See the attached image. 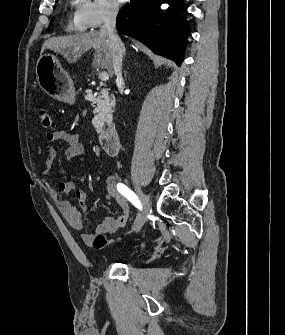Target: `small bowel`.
Masks as SVG:
<instances>
[{
  "label": "small bowel",
  "instance_id": "obj_1",
  "mask_svg": "<svg viewBox=\"0 0 285 335\" xmlns=\"http://www.w3.org/2000/svg\"><path fill=\"white\" fill-rule=\"evenodd\" d=\"M47 140L50 143L60 142L66 144L67 148L65 149L64 156L68 161L74 159L75 157L83 156L86 153L85 145L81 143L77 136L69 130L63 129L50 132L47 134ZM56 155V149L54 147H49L42 165V174H45L54 164ZM106 184L107 193L105 198L116 202L120 208V215L117 217L106 216L101 220L93 232L83 233L82 239L86 244H92L94 237L98 234L111 235L115 233L119 228L126 224L131 215L128 201L117 190V185L111 175L107 176ZM43 185L64 219L75 229H82L83 217L81 212L87 210V193L84 190L78 189L72 181H65L61 183L58 190H56L48 180H44ZM69 194H74L78 202L79 209L73 207L67 200L66 196Z\"/></svg>",
  "mask_w": 285,
  "mask_h": 335
}]
</instances>
